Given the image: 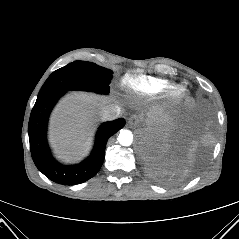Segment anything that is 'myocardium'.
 <instances>
[{"mask_svg": "<svg viewBox=\"0 0 239 239\" xmlns=\"http://www.w3.org/2000/svg\"><path fill=\"white\" fill-rule=\"evenodd\" d=\"M185 93L186 86L184 84H175L166 91V98L171 102L178 101Z\"/></svg>", "mask_w": 239, "mask_h": 239, "instance_id": "obj_1", "label": "myocardium"}]
</instances>
